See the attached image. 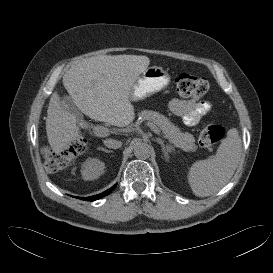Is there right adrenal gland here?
<instances>
[{"label": "right adrenal gland", "mask_w": 273, "mask_h": 273, "mask_svg": "<svg viewBox=\"0 0 273 273\" xmlns=\"http://www.w3.org/2000/svg\"><path fill=\"white\" fill-rule=\"evenodd\" d=\"M98 150H102V151H104V152H106V153H111V152H113L112 150H107L106 148H103V147H99Z\"/></svg>", "instance_id": "obj_1"}]
</instances>
